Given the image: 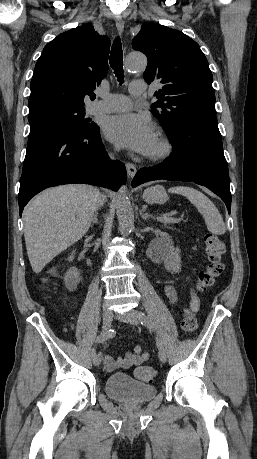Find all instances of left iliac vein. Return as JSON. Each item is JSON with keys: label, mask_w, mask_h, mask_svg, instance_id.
<instances>
[{"label": "left iliac vein", "mask_w": 257, "mask_h": 459, "mask_svg": "<svg viewBox=\"0 0 257 459\" xmlns=\"http://www.w3.org/2000/svg\"><path fill=\"white\" fill-rule=\"evenodd\" d=\"M141 313L138 310H130L124 315H117V318L123 322L131 323L137 325L139 323ZM159 359L162 363L167 361V354L164 348H159Z\"/></svg>", "instance_id": "obj_1"}]
</instances>
